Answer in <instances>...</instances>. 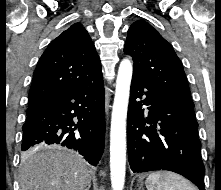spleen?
Instances as JSON below:
<instances>
[{"label": "spleen", "instance_id": "1", "mask_svg": "<svg viewBox=\"0 0 221 190\" xmlns=\"http://www.w3.org/2000/svg\"><path fill=\"white\" fill-rule=\"evenodd\" d=\"M145 184L148 190H198L180 175L166 171L151 173Z\"/></svg>", "mask_w": 221, "mask_h": 190}]
</instances>
